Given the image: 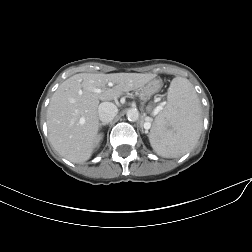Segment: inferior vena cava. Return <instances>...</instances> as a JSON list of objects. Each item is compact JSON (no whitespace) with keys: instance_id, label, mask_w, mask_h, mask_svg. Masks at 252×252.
Masks as SVG:
<instances>
[{"instance_id":"1","label":"inferior vena cava","mask_w":252,"mask_h":252,"mask_svg":"<svg viewBox=\"0 0 252 252\" xmlns=\"http://www.w3.org/2000/svg\"><path fill=\"white\" fill-rule=\"evenodd\" d=\"M118 113V108L111 102H103L98 107L99 119L103 123L111 122Z\"/></svg>"}]
</instances>
